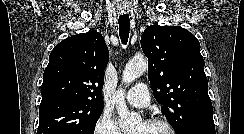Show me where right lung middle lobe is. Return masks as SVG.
<instances>
[{"mask_svg":"<svg viewBox=\"0 0 244 134\" xmlns=\"http://www.w3.org/2000/svg\"><path fill=\"white\" fill-rule=\"evenodd\" d=\"M103 108V104L64 98L43 101L37 134H93Z\"/></svg>","mask_w":244,"mask_h":134,"instance_id":"dd1d6c3e","label":"right lung middle lobe"}]
</instances>
